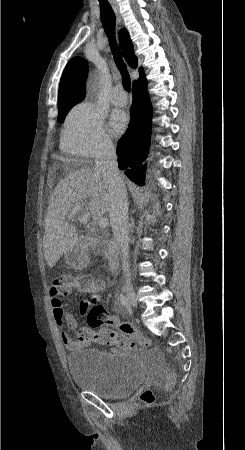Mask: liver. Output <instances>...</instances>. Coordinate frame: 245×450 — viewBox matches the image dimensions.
Masks as SVG:
<instances>
[{
  "mask_svg": "<svg viewBox=\"0 0 245 450\" xmlns=\"http://www.w3.org/2000/svg\"><path fill=\"white\" fill-rule=\"evenodd\" d=\"M109 199L102 174L95 169L82 167L58 182L47 208L43 236L44 257L50 268L78 241L76 226L68 222L74 207H86L74 216L84 224L91 216L97 219L106 214Z\"/></svg>",
  "mask_w": 245,
  "mask_h": 450,
  "instance_id": "1",
  "label": "liver"
}]
</instances>
